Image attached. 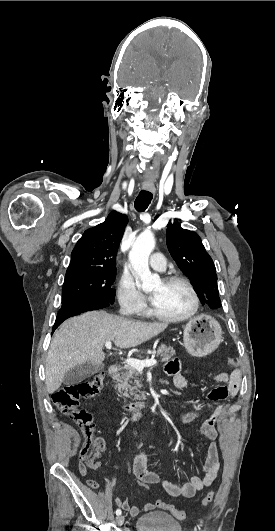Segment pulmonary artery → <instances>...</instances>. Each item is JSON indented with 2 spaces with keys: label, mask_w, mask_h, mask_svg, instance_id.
<instances>
[{
  "label": "pulmonary artery",
  "mask_w": 275,
  "mask_h": 531,
  "mask_svg": "<svg viewBox=\"0 0 275 531\" xmlns=\"http://www.w3.org/2000/svg\"><path fill=\"white\" fill-rule=\"evenodd\" d=\"M164 256L162 254L155 253L154 256H151V265L154 267V273L156 275H165L168 272L167 267H165Z\"/></svg>",
  "instance_id": "pulmonary-artery-1"
}]
</instances>
